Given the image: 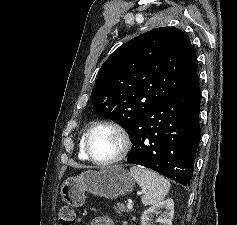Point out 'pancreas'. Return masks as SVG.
<instances>
[{
  "label": "pancreas",
  "instance_id": "cf45deb5",
  "mask_svg": "<svg viewBox=\"0 0 237 225\" xmlns=\"http://www.w3.org/2000/svg\"><path fill=\"white\" fill-rule=\"evenodd\" d=\"M115 210L120 215L122 212H129L130 211L129 209H126L125 206L121 203H119L115 206Z\"/></svg>",
  "mask_w": 237,
  "mask_h": 225
}]
</instances>
